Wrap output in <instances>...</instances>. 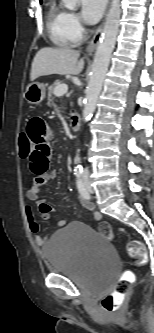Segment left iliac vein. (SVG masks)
<instances>
[{"mask_svg": "<svg viewBox=\"0 0 154 333\" xmlns=\"http://www.w3.org/2000/svg\"><path fill=\"white\" fill-rule=\"evenodd\" d=\"M83 182L85 184V187L89 193H94L93 188L91 187L88 177L86 175L83 176Z\"/></svg>", "mask_w": 154, "mask_h": 333, "instance_id": "1", "label": "left iliac vein"}]
</instances>
